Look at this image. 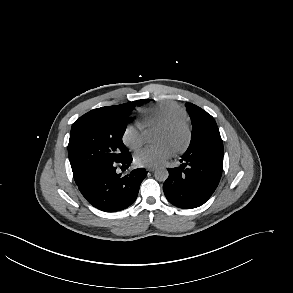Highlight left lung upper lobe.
Segmentation results:
<instances>
[{
	"label": "left lung upper lobe",
	"mask_w": 293,
	"mask_h": 293,
	"mask_svg": "<svg viewBox=\"0 0 293 293\" xmlns=\"http://www.w3.org/2000/svg\"><path fill=\"white\" fill-rule=\"evenodd\" d=\"M185 106L192 122V136L184 154L204 149L223 155V142L214 118L194 104L187 103Z\"/></svg>",
	"instance_id": "1"
}]
</instances>
